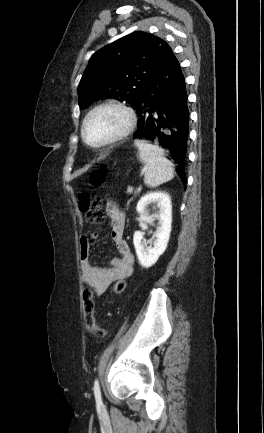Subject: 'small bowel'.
Masks as SVG:
<instances>
[{"instance_id":"obj_1","label":"small bowel","mask_w":264,"mask_h":433,"mask_svg":"<svg viewBox=\"0 0 264 433\" xmlns=\"http://www.w3.org/2000/svg\"><path fill=\"white\" fill-rule=\"evenodd\" d=\"M106 213L110 218L111 238L119 253V257L111 261V266L99 267L91 263L90 243L96 238V234L82 236L79 241L83 282L96 295H101L112 282L128 278L132 273L134 263V256L123 236L124 214L112 201L106 203Z\"/></svg>"}]
</instances>
